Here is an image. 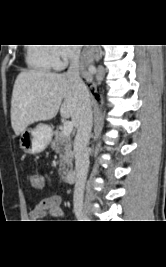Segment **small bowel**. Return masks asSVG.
<instances>
[{
  "label": "small bowel",
  "mask_w": 166,
  "mask_h": 267,
  "mask_svg": "<svg viewBox=\"0 0 166 267\" xmlns=\"http://www.w3.org/2000/svg\"><path fill=\"white\" fill-rule=\"evenodd\" d=\"M39 177H43V183H46L47 187H52V180L51 178L43 174ZM61 204H62V196L58 194H54L48 196L37 203L29 214L30 220L33 222H39L47 217H53L60 220L63 217L61 211Z\"/></svg>",
  "instance_id": "c3829d8e"
}]
</instances>
